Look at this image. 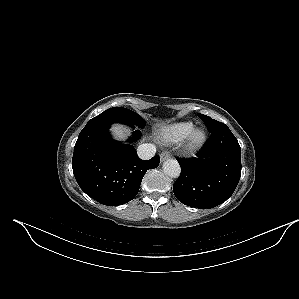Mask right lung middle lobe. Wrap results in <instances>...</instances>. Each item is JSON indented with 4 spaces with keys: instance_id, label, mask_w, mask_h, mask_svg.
<instances>
[{
    "instance_id": "1",
    "label": "right lung middle lobe",
    "mask_w": 299,
    "mask_h": 299,
    "mask_svg": "<svg viewBox=\"0 0 299 299\" xmlns=\"http://www.w3.org/2000/svg\"><path fill=\"white\" fill-rule=\"evenodd\" d=\"M103 113L116 115V116L122 118L123 120H125L131 124H135L139 127H143L145 125L144 120L142 119V117L139 114H137L129 109H126V108L113 107V108L107 109Z\"/></svg>"
}]
</instances>
